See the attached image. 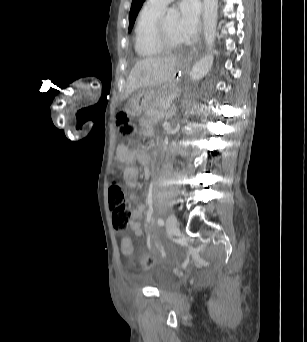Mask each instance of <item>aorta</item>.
Masks as SVG:
<instances>
[{"mask_svg":"<svg viewBox=\"0 0 307 342\" xmlns=\"http://www.w3.org/2000/svg\"><path fill=\"white\" fill-rule=\"evenodd\" d=\"M203 24L204 38L207 44L208 52L204 58H201L190 72L191 80H200L213 64L212 48H214L217 18H218V0H203ZM165 16L166 22H177L179 12L176 8H168Z\"/></svg>","mask_w":307,"mask_h":342,"instance_id":"762f6f07","label":"aorta"}]
</instances>
